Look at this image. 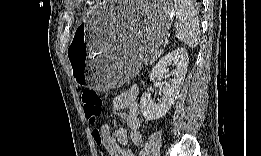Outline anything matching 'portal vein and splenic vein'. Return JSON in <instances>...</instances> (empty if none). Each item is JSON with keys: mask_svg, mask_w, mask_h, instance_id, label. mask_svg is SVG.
I'll return each mask as SVG.
<instances>
[{"mask_svg": "<svg viewBox=\"0 0 261 156\" xmlns=\"http://www.w3.org/2000/svg\"><path fill=\"white\" fill-rule=\"evenodd\" d=\"M168 42H169L168 39H165V44H168Z\"/></svg>", "mask_w": 261, "mask_h": 156, "instance_id": "1", "label": "portal vein and splenic vein"}]
</instances>
